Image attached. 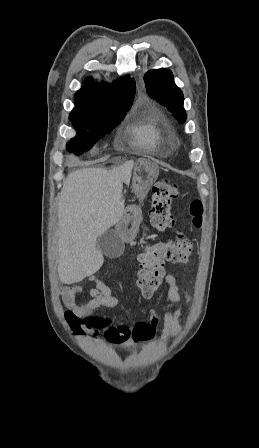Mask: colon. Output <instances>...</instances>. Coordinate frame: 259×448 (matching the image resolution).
<instances>
[{"instance_id": "5ec220e1", "label": "colon", "mask_w": 259, "mask_h": 448, "mask_svg": "<svg viewBox=\"0 0 259 448\" xmlns=\"http://www.w3.org/2000/svg\"><path fill=\"white\" fill-rule=\"evenodd\" d=\"M178 194V186L169 180L163 179L154 185L149 211L150 221L154 228L165 230L174 226L172 204ZM189 213L193 224L200 227L203 221V205L200 200L194 199L191 201ZM191 254V242L182 235L169 241L147 245L138 256L140 268L136 286L139 294L143 297H150L154 294L163 282L165 263H185L190 259ZM75 291L74 287H66L62 290V296L66 304L74 301ZM66 320L74 330L81 331L80 320L70 311L66 313Z\"/></svg>"}]
</instances>
